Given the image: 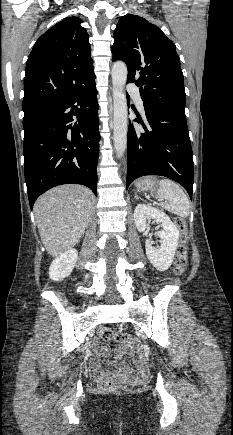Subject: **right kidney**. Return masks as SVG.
<instances>
[{"label":"right kidney","mask_w":233,"mask_h":435,"mask_svg":"<svg viewBox=\"0 0 233 435\" xmlns=\"http://www.w3.org/2000/svg\"><path fill=\"white\" fill-rule=\"evenodd\" d=\"M76 249H69L56 257L50 265L49 277L54 281H61L68 277L77 261Z\"/></svg>","instance_id":"right-kidney-1"}]
</instances>
